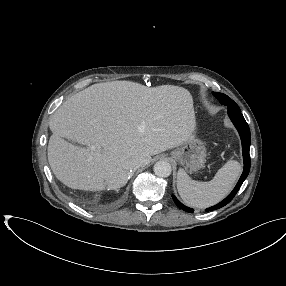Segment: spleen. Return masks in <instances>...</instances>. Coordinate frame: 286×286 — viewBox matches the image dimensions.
<instances>
[{"label":"spleen","mask_w":286,"mask_h":286,"mask_svg":"<svg viewBox=\"0 0 286 286\" xmlns=\"http://www.w3.org/2000/svg\"><path fill=\"white\" fill-rule=\"evenodd\" d=\"M240 174L241 165L234 160H228L209 182L192 180L183 169H179L177 189L187 206L203 209L222 201L231 192Z\"/></svg>","instance_id":"1"}]
</instances>
